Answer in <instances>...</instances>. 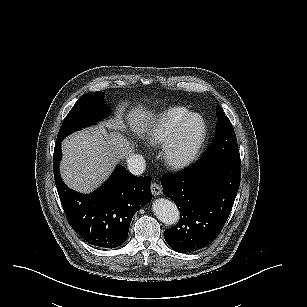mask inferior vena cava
Instances as JSON below:
<instances>
[{"instance_id": "1", "label": "inferior vena cava", "mask_w": 307, "mask_h": 307, "mask_svg": "<svg viewBox=\"0 0 307 307\" xmlns=\"http://www.w3.org/2000/svg\"><path fill=\"white\" fill-rule=\"evenodd\" d=\"M128 170L133 175H140L145 170V159L141 154H133L127 159Z\"/></svg>"}]
</instances>
